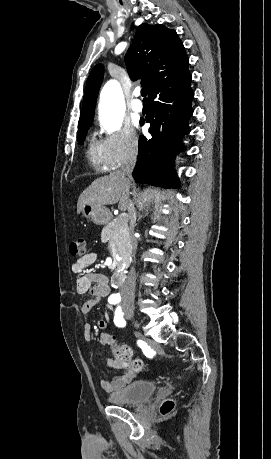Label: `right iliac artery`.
Instances as JSON below:
<instances>
[{"instance_id":"obj_1","label":"right iliac artery","mask_w":271,"mask_h":459,"mask_svg":"<svg viewBox=\"0 0 271 459\" xmlns=\"http://www.w3.org/2000/svg\"><path fill=\"white\" fill-rule=\"evenodd\" d=\"M108 302H109L110 304H116V303L119 302V300L114 299L113 297H109Z\"/></svg>"}]
</instances>
